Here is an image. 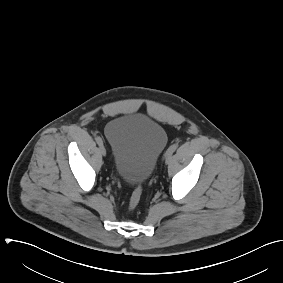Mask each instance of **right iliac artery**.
I'll use <instances>...</instances> for the list:
<instances>
[{
	"label": "right iliac artery",
	"mask_w": 283,
	"mask_h": 283,
	"mask_svg": "<svg viewBox=\"0 0 283 283\" xmlns=\"http://www.w3.org/2000/svg\"><path fill=\"white\" fill-rule=\"evenodd\" d=\"M96 142L98 143V145H103V140L101 139V137L97 136L96 137Z\"/></svg>",
	"instance_id": "82829eb1"
}]
</instances>
